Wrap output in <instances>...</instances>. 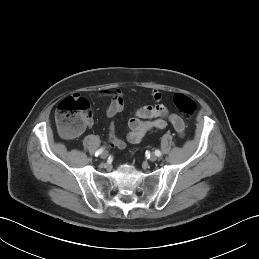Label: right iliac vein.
<instances>
[{
    "instance_id": "1",
    "label": "right iliac vein",
    "mask_w": 259,
    "mask_h": 259,
    "mask_svg": "<svg viewBox=\"0 0 259 259\" xmlns=\"http://www.w3.org/2000/svg\"><path fill=\"white\" fill-rule=\"evenodd\" d=\"M100 156H101L102 159H106L108 157V152L103 151Z\"/></svg>"
}]
</instances>
